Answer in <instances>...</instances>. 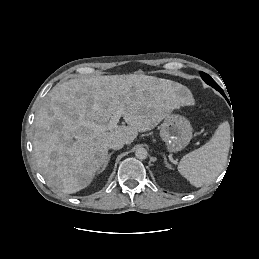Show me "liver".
I'll list each match as a JSON object with an SVG mask.
<instances>
[{"label": "liver", "mask_w": 259, "mask_h": 259, "mask_svg": "<svg viewBox=\"0 0 259 259\" xmlns=\"http://www.w3.org/2000/svg\"><path fill=\"white\" fill-rule=\"evenodd\" d=\"M177 82L147 75L77 77L57 84L34 125L36 164L47 183L67 194L87 187L108 156L114 138L131 144L138 132L155 128L174 109L193 105ZM122 107L128 126L97 132Z\"/></svg>", "instance_id": "1"}]
</instances>
